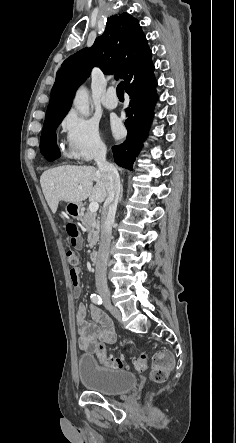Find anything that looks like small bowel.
<instances>
[{
	"mask_svg": "<svg viewBox=\"0 0 236 443\" xmlns=\"http://www.w3.org/2000/svg\"><path fill=\"white\" fill-rule=\"evenodd\" d=\"M81 240H78L75 245L81 247ZM78 276V282L73 283L74 290L73 294L75 297H79L82 293L79 280V269H76ZM92 319L98 326L89 323L86 320L87 307L84 304H80L77 313L76 321L79 333V343L80 346L88 352H92L96 344L99 341H104L107 344H113L116 341V334L113 328V323L110 317L100 309L95 306H90L89 308Z\"/></svg>",
	"mask_w": 236,
	"mask_h": 443,
	"instance_id": "obj_1",
	"label": "small bowel"
}]
</instances>
